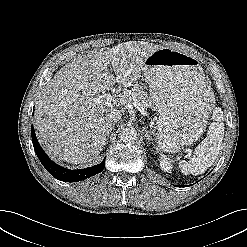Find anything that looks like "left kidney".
Wrapping results in <instances>:
<instances>
[{"instance_id": "obj_1", "label": "left kidney", "mask_w": 247, "mask_h": 247, "mask_svg": "<svg viewBox=\"0 0 247 247\" xmlns=\"http://www.w3.org/2000/svg\"><path fill=\"white\" fill-rule=\"evenodd\" d=\"M160 166L161 169L164 170L165 172H171L172 170L171 160L163 154L161 155Z\"/></svg>"}]
</instances>
